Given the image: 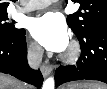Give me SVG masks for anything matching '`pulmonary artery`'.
<instances>
[{
	"instance_id": "1",
	"label": "pulmonary artery",
	"mask_w": 107,
	"mask_h": 89,
	"mask_svg": "<svg viewBox=\"0 0 107 89\" xmlns=\"http://www.w3.org/2000/svg\"><path fill=\"white\" fill-rule=\"evenodd\" d=\"M52 2H54V0H32L28 3L27 6L17 9V12L25 13V12H29L37 9L46 8Z\"/></svg>"
}]
</instances>
